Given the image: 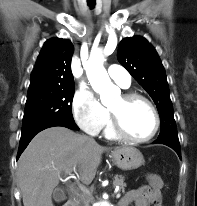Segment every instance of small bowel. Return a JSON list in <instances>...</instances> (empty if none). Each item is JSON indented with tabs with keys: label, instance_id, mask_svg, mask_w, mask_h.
Masks as SVG:
<instances>
[{
	"label": "small bowel",
	"instance_id": "c3829d8e",
	"mask_svg": "<svg viewBox=\"0 0 197 206\" xmlns=\"http://www.w3.org/2000/svg\"><path fill=\"white\" fill-rule=\"evenodd\" d=\"M131 203H134L135 206H162L160 190L144 186L128 191L121 199L120 206H129Z\"/></svg>",
	"mask_w": 197,
	"mask_h": 206
}]
</instances>
